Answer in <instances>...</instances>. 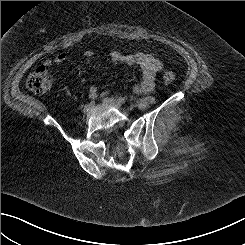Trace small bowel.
<instances>
[{"label": "small bowel", "instance_id": "obj_1", "mask_svg": "<svg viewBox=\"0 0 245 245\" xmlns=\"http://www.w3.org/2000/svg\"><path fill=\"white\" fill-rule=\"evenodd\" d=\"M92 52H87V56H91ZM110 62L114 65L124 64L128 66L137 65L142 70V79L139 83L132 87L134 93L146 94L153 91L155 87L157 74L162 69V63L156 57L144 52H135L131 54H122L118 51H112L109 55ZM66 59V54L58 53L54 58L46 60L44 66L47 68L53 67L62 63ZM107 92L102 93V96ZM91 98L98 96L96 86H91L89 89Z\"/></svg>", "mask_w": 245, "mask_h": 245}]
</instances>
